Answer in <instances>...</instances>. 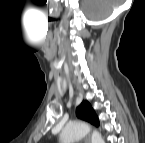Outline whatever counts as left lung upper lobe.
Segmentation results:
<instances>
[{"label":"left lung upper lobe","mask_w":145,"mask_h":143,"mask_svg":"<svg viewBox=\"0 0 145 143\" xmlns=\"http://www.w3.org/2000/svg\"><path fill=\"white\" fill-rule=\"evenodd\" d=\"M77 117L86 120L96 126L99 125V120L91 105L87 101H83L77 108Z\"/></svg>","instance_id":"left-lung-upper-lobe-1"}]
</instances>
